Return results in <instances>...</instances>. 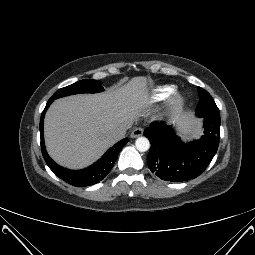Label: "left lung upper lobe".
<instances>
[{"label":"left lung upper lobe","mask_w":255,"mask_h":255,"mask_svg":"<svg viewBox=\"0 0 255 255\" xmlns=\"http://www.w3.org/2000/svg\"><path fill=\"white\" fill-rule=\"evenodd\" d=\"M198 94L200 97V102L197 106L196 115L199 117H206L209 115L219 116V109L211 95L201 87H198Z\"/></svg>","instance_id":"left-lung-upper-lobe-1"}]
</instances>
